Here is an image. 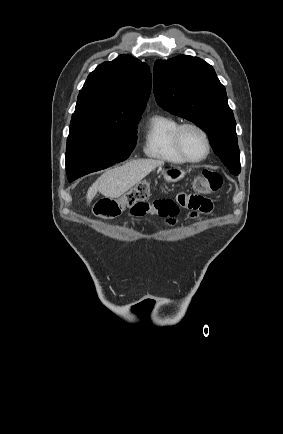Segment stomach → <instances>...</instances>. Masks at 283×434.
Segmentation results:
<instances>
[{
    "label": "stomach",
    "mask_w": 283,
    "mask_h": 434,
    "mask_svg": "<svg viewBox=\"0 0 283 434\" xmlns=\"http://www.w3.org/2000/svg\"><path fill=\"white\" fill-rule=\"evenodd\" d=\"M162 174H164V172H162ZM165 174H167V176H168L167 179H165V181L177 182V181L183 179L186 173L180 167H171V168H169L168 172H166Z\"/></svg>",
    "instance_id": "0dacf381"
}]
</instances>
